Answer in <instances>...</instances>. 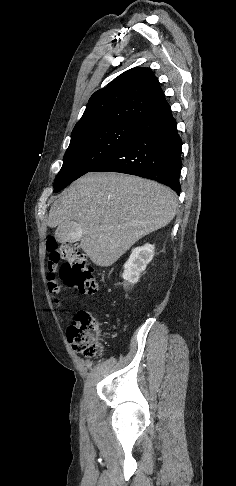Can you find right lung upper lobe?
I'll use <instances>...</instances> for the list:
<instances>
[{"instance_id": "1", "label": "right lung upper lobe", "mask_w": 236, "mask_h": 486, "mask_svg": "<svg viewBox=\"0 0 236 486\" xmlns=\"http://www.w3.org/2000/svg\"><path fill=\"white\" fill-rule=\"evenodd\" d=\"M169 108L159 81L145 67L125 71L88 101L71 136L120 123H139L146 116Z\"/></svg>"}]
</instances>
